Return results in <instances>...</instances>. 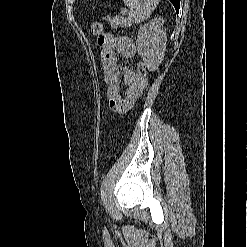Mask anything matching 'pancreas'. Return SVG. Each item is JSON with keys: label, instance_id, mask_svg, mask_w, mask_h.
Instances as JSON below:
<instances>
[{"label": "pancreas", "instance_id": "1", "mask_svg": "<svg viewBox=\"0 0 248 247\" xmlns=\"http://www.w3.org/2000/svg\"><path fill=\"white\" fill-rule=\"evenodd\" d=\"M129 25V22L122 18V17H116L114 18L113 20H111V26L113 28H117V27H125V26H128Z\"/></svg>", "mask_w": 248, "mask_h": 247}]
</instances>
